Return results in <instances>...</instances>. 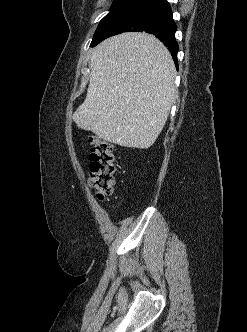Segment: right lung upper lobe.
<instances>
[{
  "label": "right lung upper lobe",
  "instance_id": "right-lung-upper-lobe-1",
  "mask_svg": "<svg viewBox=\"0 0 247 332\" xmlns=\"http://www.w3.org/2000/svg\"><path fill=\"white\" fill-rule=\"evenodd\" d=\"M145 1L149 2V1H151V0H145Z\"/></svg>",
  "mask_w": 247,
  "mask_h": 332
}]
</instances>
